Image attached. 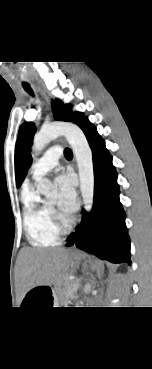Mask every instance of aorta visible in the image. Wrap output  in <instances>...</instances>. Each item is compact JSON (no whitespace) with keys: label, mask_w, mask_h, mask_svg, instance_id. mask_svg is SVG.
I'll use <instances>...</instances> for the list:
<instances>
[{"label":"aorta","mask_w":152,"mask_h":369,"mask_svg":"<svg viewBox=\"0 0 152 369\" xmlns=\"http://www.w3.org/2000/svg\"><path fill=\"white\" fill-rule=\"evenodd\" d=\"M59 136H65L75 154L79 177L80 191L84 208L90 212L94 199V170L92 151L83 131L75 124L60 122L42 126L41 130L34 136L32 150L37 155L52 140ZM37 190L47 198L57 195L56 187L48 179L39 181Z\"/></svg>","instance_id":"obj_1"}]
</instances>
